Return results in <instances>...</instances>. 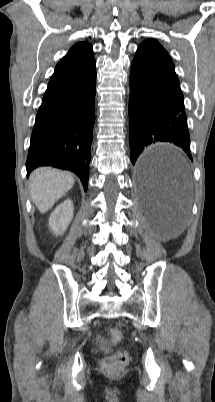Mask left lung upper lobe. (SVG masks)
<instances>
[{
  "label": "left lung upper lobe",
  "mask_w": 215,
  "mask_h": 402,
  "mask_svg": "<svg viewBox=\"0 0 215 402\" xmlns=\"http://www.w3.org/2000/svg\"><path fill=\"white\" fill-rule=\"evenodd\" d=\"M135 58L175 74L174 63L171 57L155 39L144 40L137 48Z\"/></svg>",
  "instance_id": "obj_1"
}]
</instances>
